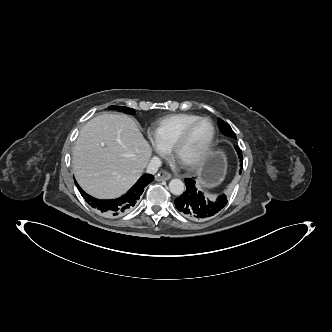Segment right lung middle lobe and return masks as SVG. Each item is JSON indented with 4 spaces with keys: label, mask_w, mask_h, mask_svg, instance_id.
<instances>
[{
    "label": "right lung middle lobe",
    "mask_w": 332,
    "mask_h": 332,
    "mask_svg": "<svg viewBox=\"0 0 332 332\" xmlns=\"http://www.w3.org/2000/svg\"><path fill=\"white\" fill-rule=\"evenodd\" d=\"M109 109H114L115 107L114 106H109L108 107ZM117 110H119V111H123V112H125V113H127V114H134V112H135V110L134 109H131V108H128V107H117L116 108Z\"/></svg>",
    "instance_id": "1"
}]
</instances>
